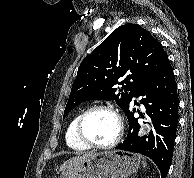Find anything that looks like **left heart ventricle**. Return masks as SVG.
<instances>
[{"instance_id": "b2bd125f", "label": "left heart ventricle", "mask_w": 194, "mask_h": 178, "mask_svg": "<svg viewBox=\"0 0 194 178\" xmlns=\"http://www.w3.org/2000/svg\"><path fill=\"white\" fill-rule=\"evenodd\" d=\"M85 137L96 144L111 142L117 134L118 125L109 112L96 110L88 114L82 126Z\"/></svg>"}]
</instances>
